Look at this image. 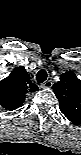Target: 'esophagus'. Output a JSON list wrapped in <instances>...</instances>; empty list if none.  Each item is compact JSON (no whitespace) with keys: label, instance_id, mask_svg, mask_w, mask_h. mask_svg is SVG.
Wrapping results in <instances>:
<instances>
[{"label":"esophagus","instance_id":"1","mask_svg":"<svg viewBox=\"0 0 81 155\" xmlns=\"http://www.w3.org/2000/svg\"><path fill=\"white\" fill-rule=\"evenodd\" d=\"M51 87H52V81L51 80H47L41 84V88H44V89H49Z\"/></svg>","mask_w":81,"mask_h":155}]
</instances>
